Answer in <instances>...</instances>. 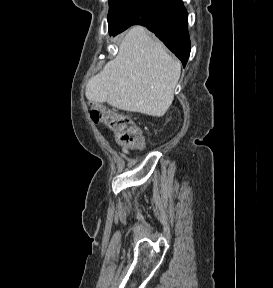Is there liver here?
Listing matches in <instances>:
<instances>
[{"label": "liver", "instance_id": "liver-1", "mask_svg": "<svg viewBox=\"0 0 273 288\" xmlns=\"http://www.w3.org/2000/svg\"><path fill=\"white\" fill-rule=\"evenodd\" d=\"M180 72V62L163 44L135 26L122 39L116 58L88 81L85 95L94 103L161 117L172 104Z\"/></svg>", "mask_w": 273, "mask_h": 288}]
</instances>
